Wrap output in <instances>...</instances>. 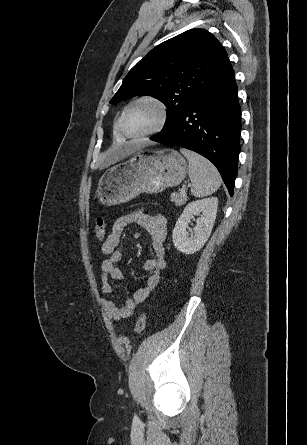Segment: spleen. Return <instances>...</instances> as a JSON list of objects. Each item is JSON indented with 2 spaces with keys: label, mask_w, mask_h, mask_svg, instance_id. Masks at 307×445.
Here are the masks:
<instances>
[{
  "label": "spleen",
  "mask_w": 307,
  "mask_h": 445,
  "mask_svg": "<svg viewBox=\"0 0 307 445\" xmlns=\"http://www.w3.org/2000/svg\"><path fill=\"white\" fill-rule=\"evenodd\" d=\"M189 162V178L192 182L191 192L194 196H208L221 186L222 178L216 166L193 150L180 148Z\"/></svg>",
  "instance_id": "3e777b00"
}]
</instances>
